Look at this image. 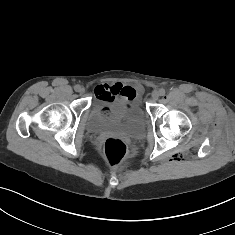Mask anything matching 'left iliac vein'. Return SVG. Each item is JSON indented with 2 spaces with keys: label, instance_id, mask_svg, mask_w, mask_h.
Masks as SVG:
<instances>
[{
  "label": "left iliac vein",
  "instance_id": "left-iliac-vein-1",
  "mask_svg": "<svg viewBox=\"0 0 235 235\" xmlns=\"http://www.w3.org/2000/svg\"><path fill=\"white\" fill-rule=\"evenodd\" d=\"M159 96H160L159 91L155 90V91L152 92V99L154 101L158 100Z\"/></svg>",
  "mask_w": 235,
  "mask_h": 235
}]
</instances>
